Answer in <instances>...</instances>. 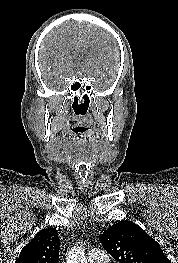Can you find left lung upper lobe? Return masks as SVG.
I'll use <instances>...</instances> for the list:
<instances>
[{
    "label": "left lung upper lobe",
    "mask_w": 178,
    "mask_h": 263,
    "mask_svg": "<svg viewBox=\"0 0 178 263\" xmlns=\"http://www.w3.org/2000/svg\"><path fill=\"white\" fill-rule=\"evenodd\" d=\"M99 240L120 263H171L159 244L131 221L114 224Z\"/></svg>",
    "instance_id": "left-lung-upper-lobe-1"
}]
</instances>
